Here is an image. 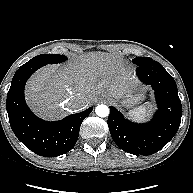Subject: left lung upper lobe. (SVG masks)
Listing matches in <instances>:
<instances>
[{"label": "left lung upper lobe", "instance_id": "1", "mask_svg": "<svg viewBox=\"0 0 193 193\" xmlns=\"http://www.w3.org/2000/svg\"><path fill=\"white\" fill-rule=\"evenodd\" d=\"M133 62L139 67L146 64H150L151 62H154V60L149 57H137L133 59Z\"/></svg>", "mask_w": 193, "mask_h": 193}]
</instances>
